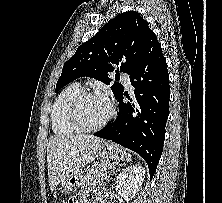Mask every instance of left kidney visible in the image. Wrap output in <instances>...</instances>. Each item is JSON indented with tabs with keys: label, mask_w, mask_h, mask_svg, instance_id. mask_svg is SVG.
Here are the masks:
<instances>
[{
	"label": "left kidney",
	"mask_w": 222,
	"mask_h": 203,
	"mask_svg": "<svg viewBox=\"0 0 222 203\" xmlns=\"http://www.w3.org/2000/svg\"><path fill=\"white\" fill-rule=\"evenodd\" d=\"M145 173V168L139 164L127 166L116 177L115 190L126 201H130L140 190Z\"/></svg>",
	"instance_id": "5707ae66"
}]
</instances>
